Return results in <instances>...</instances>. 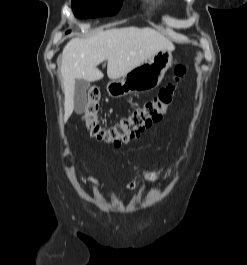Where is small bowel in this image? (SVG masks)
<instances>
[{
	"label": "small bowel",
	"mask_w": 247,
	"mask_h": 265,
	"mask_svg": "<svg viewBox=\"0 0 247 265\" xmlns=\"http://www.w3.org/2000/svg\"><path fill=\"white\" fill-rule=\"evenodd\" d=\"M145 177L150 182H158L160 179L157 173H155L154 171L149 170V169L145 170ZM85 180L88 183H90L91 185L99 186V183L92 177H86ZM128 188L130 190H135L136 189V183L135 182L129 183Z\"/></svg>",
	"instance_id": "c3829d8e"
}]
</instances>
